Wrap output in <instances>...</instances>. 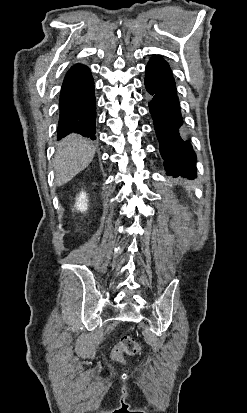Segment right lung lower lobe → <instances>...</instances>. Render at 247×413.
Wrapping results in <instances>:
<instances>
[{
  "mask_svg": "<svg viewBox=\"0 0 247 413\" xmlns=\"http://www.w3.org/2000/svg\"><path fill=\"white\" fill-rule=\"evenodd\" d=\"M59 111L58 140L73 132L95 139L94 81L87 66L76 64L67 72L61 88Z\"/></svg>",
  "mask_w": 247,
  "mask_h": 413,
  "instance_id": "98d812e1",
  "label": "right lung lower lobe"
}]
</instances>
